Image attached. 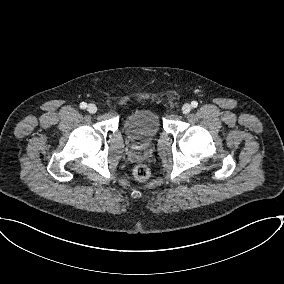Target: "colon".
Segmentation results:
<instances>
[{
	"mask_svg": "<svg viewBox=\"0 0 284 284\" xmlns=\"http://www.w3.org/2000/svg\"><path fill=\"white\" fill-rule=\"evenodd\" d=\"M133 175L138 180H146L150 176V170L143 164H138L133 169Z\"/></svg>",
	"mask_w": 284,
	"mask_h": 284,
	"instance_id": "colon-1",
	"label": "colon"
}]
</instances>
